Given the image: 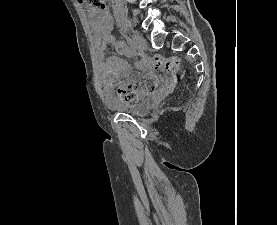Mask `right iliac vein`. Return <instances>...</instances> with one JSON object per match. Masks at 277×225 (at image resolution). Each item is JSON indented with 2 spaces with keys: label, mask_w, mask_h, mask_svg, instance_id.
<instances>
[{
  "label": "right iliac vein",
  "mask_w": 277,
  "mask_h": 225,
  "mask_svg": "<svg viewBox=\"0 0 277 225\" xmlns=\"http://www.w3.org/2000/svg\"><path fill=\"white\" fill-rule=\"evenodd\" d=\"M132 41L134 42L136 48H138L141 51L145 50L147 47V43H146L145 39L138 33L132 34Z\"/></svg>",
  "instance_id": "obj_1"
}]
</instances>
